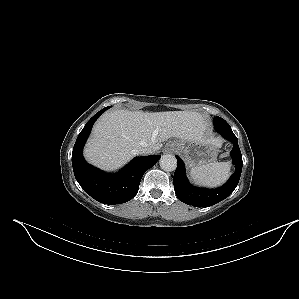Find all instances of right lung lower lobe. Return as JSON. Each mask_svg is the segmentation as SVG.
<instances>
[{
  "instance_id": "obj_1",
  "label": "right lung lower lobe",
  "mask_w": 299,
  "mask_h": 299,
  "mask_svg": "<svg viewBox=\"0 0 299 299\" xmlns=\"http://www.w3.org/2000/svg\"><path fill=\"white\" fill-rule=\"evenodd\" d=\"M109 107L96 113L84 126L73 148L72 166L76 180L92 198L104 204H121L132 199L143 174L160 159V155L134 158L118 174H107L89 165L83 157L84 144L97 118Z\"/></svg>"
}]
</instances>
